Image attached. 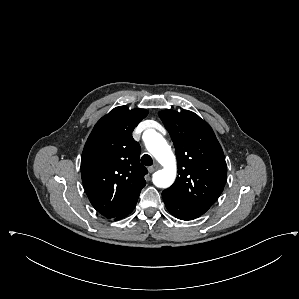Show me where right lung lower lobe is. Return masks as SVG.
<instances>
[{
	"mask_svg": "<svg viewBox=\"0 0 299 299\" xmlns=\"http://www.w3.org/2000/svg\"><path fill=\"white\" fill-rule=\"evenodd\" d=\"M136 203H134L131 207H129L127 210H125L123 213H121L119 216H117L115 218V220L122 219V218L126 217L128 214H130L132 212V210L134 209Z\"/></svg>",
	"mask_w": 299,
	"mask_h": 299,
	"instance_id": "98d812e1",
	"label": "right lung lower lobe"
}]
</instances>
